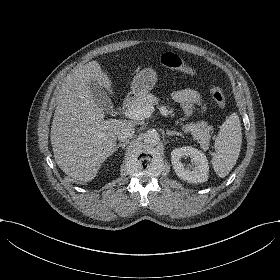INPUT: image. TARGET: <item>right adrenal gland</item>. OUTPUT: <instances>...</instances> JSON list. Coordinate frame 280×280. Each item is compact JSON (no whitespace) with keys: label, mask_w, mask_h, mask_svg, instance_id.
Returning a JSON list of instances; mask_svg holds the SVG:
<instances>
[{"label":"right adrenal gland","mask_w":280,"mask_h":280,"mask_svg":"<svg viewBox=\"0 0 280 280\" xmlns=\"http://www.w3.org/2000/svg\"><path fill=\"white\" fill-rule=\"evenodd\" d=\"M127 143H119L117 145H115L113 153L118 151V149L121 147L122 149H124L126 147Z\"/></svg>","instance_id":"right-adrenal-gland-1"}]
</instances>
